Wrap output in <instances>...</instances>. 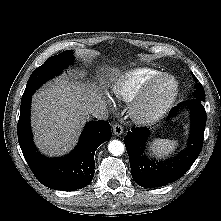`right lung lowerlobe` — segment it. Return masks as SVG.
Segmentation results:
<instances>
[{"instance_id": "right-lung-lower-lobe-1", "label": "right lung lower lobe", "mask_w": 221, "mask_h": 221, "mask_svg": "<svg viewBox=\"0 0 221 221\" xmlns=\"http://www.w3.org/2000/svg\"><path fill=\"white\" fill-rule=\"evenodd\" d=\"M31 96L21 100L18 121V141L23 155L35 177L46 187L72 191L87 186L94 176L95 150L111 138L107 121L89 122L76 148L67 156L48 158L40 154L30 129Z\"/></svg>"}]
</instances>
